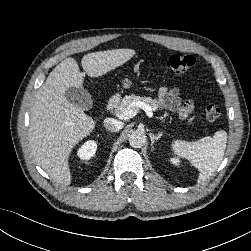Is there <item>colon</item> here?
Here are the masks:
<instances>
[{
	"label": "colon",
	"instance_id": "5ec220e1",
	"mask_svg": "<svg viewBox=\"0 0 251 251\" xmlns=\"http://www.w3.org/2000/svg\"><path fill=\"white\" fill-rule=\"evenodd\" d=\"M164 66L177 74H189L194 68L195 61L189 55H170L163 61ZM205 118L215 121L220 117V109L217 105L209 103L205 106Z\"/></svg>",
	"mask_w": 251,
	"mask_h": 251
}]
</instances>
